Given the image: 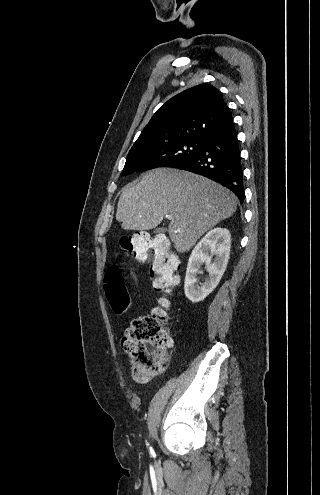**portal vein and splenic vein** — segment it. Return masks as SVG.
<instances>
[{
  "instance_id": "obj_1",
  "label": "portal vein and splenic vein",
  "mask_w": 320,
  "mask_h": 495,
  "mask_svg": "<svg viewBox=\"0 0 320 495\" xmlns=\"http://www.w3.org/2000/svg\"><path fill=\"white\" fill-rule=\"evenodd\" d=\"M166 217H167L169 220H171V219L173 218V216H172V215H167Z\"/></svg>"
}]
</instances>
